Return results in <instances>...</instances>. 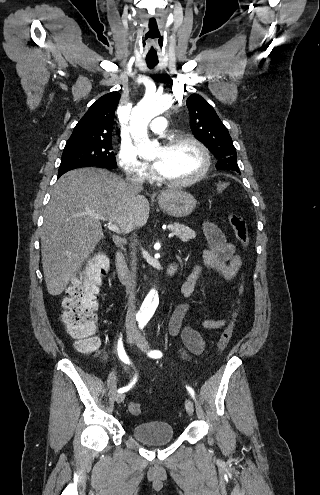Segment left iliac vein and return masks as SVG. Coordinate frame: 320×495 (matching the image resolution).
Returning <instances> with one entry per match:
<instances>
[{
	"instance_id": "left-iliac-vein-1",
	"label": "left iliac vein",
	"mask_w": 320,
	"mask_h": 495,
	"mask_svg": "<svg viewBox=\"0 0 320 495\" xmlns=\"http://www.w3.org/2000/svg\"><path fill=\"white\" fill-rule=\"evenodd\" d=\"M136 344L140 348V350L146 352L149 349V345L145 337L141 334L136 336ZM185 409L189 415H193L194 405L191 399H186L185 401Z\"/></svg>"
}]
</instances>
